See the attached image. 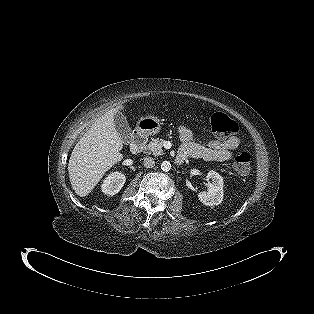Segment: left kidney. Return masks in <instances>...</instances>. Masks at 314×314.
Segmentation results:
<instances>
[{"label": "left kidney", "instance_id": "5707ae66", "mask_svg": "<svg viewBox=\"0 0 314 314\" xmlns=\"http://www.w3.org/2000/svg\"><path fill=\"white\" fill-rule=\"evenodd\" d=\"M206 177L211 182L208 183L207 192L198 193V198L206 206L219 205L224 195L223 177L213 170L209 171Z\"/></svg>", "mask_w": 314, "mask_h": 314}]
</instances>
